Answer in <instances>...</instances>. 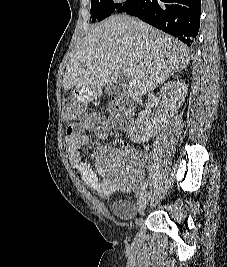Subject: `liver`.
<instances>
[{
  "instance_id": "1",
  "label": "liver",
  "mask_w": 227,
  "mask_h": 267,
  "mask_svg": "<svg viewBox=\"0 0 227 267\" xmlns=\"http://www.w3.org/2000/svg\"><path fill=\"white\" fill-rule=\"evenodd\" d=\"M189 62V49L178 39L133 17L112 15L92 26L73 50L63 87L107 86L128 67L134 71L129 94L143 96Z\"/></svg>"
}]
</instances>
